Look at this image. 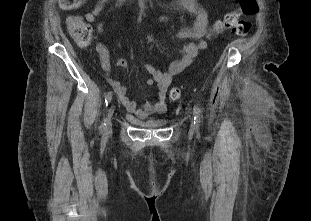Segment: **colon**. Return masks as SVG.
<instances>
[{"label": "colon", "instance_id": "obj_1", "mask_svg": "<svg viewBox=\"0 0 311 221\" xmlns=\"http://www.w3.org/2000/svg\"><path fill=\"white\" fill-rule=\"evenodd\" d=\"M86 0H65L58 1V8H69L73 11L77 4H85ZM240 7L242 8V13H237V11L228 13L222 21L215 22L213 29L217 32H221L228 28V24H232L234 18H238L239 15L245 14L247 17H254L255 13L259 10L258 0H239ZM67 30L71 37L76 41V43L81 47H87L92 40V26L89 22L85 21L81 16L73 15L67 19ZM249 22L240 20L237 26L231 29L237 35H244L249 29ZM183 93L181 87H173L168 92V100L176 101Z\"/></svg>", "mask_w": 311, "mask_h": 221}]
</instances>
